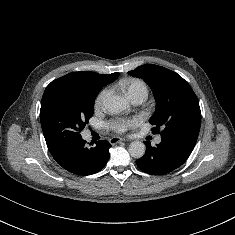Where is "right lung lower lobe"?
I'll use <instances>...</instances> for the list:
<instances>
[{"instance_id":"98d812e1","label":"right lung lower lobe","mask_w":235,"mask_h":235,"mask_svg":"<svg viewBox=\"0 0 235 235\" xmlns=\"http://www.w3.org/2000/svg\"><path fill=\"white\" fill-rule=\"evenodd\" d=\"M110 147V143L105 140L97 141L94 147H87L86 141L77 137L50 153L67 171L77 175H91L106 165L110 157Z\"/></svg>"}]
</instances>
